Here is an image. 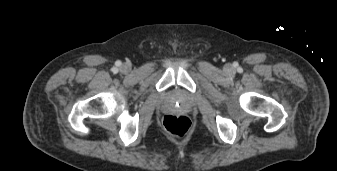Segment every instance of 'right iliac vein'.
I'll return each mask as SVG.
<instances>
[{
  "mask_svg": "<svg viewBox=\"0 0 337 171\" xmlns=\"http://www.w3.org/2000/svg\"><path fill=\"white\" fill-rule=\"evenodd\" d=\"M120 70L121 72L123 73H128L130 71V66L128 64H123L121 67H120Z\"/></svg>",
  "mask_w": 337,
  "mask_h": 171,
  "instance_id": "right-iliac-vein-1",
  "label": "right iliac vein"
}]
</instances>
